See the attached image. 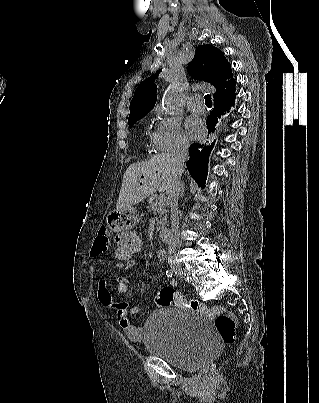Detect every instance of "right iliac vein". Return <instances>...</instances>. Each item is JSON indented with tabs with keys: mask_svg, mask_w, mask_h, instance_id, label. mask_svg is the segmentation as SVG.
<instances>
[{
	"mask_svg": "<svg viewBox=\"0 0 319 403\" xmlns=\"http://www.w3.org/2000/svg\"><path fill=\"white\" fill-rule=\"evenodd\" d=\"M171 268L177 276L181 277L183 275V270L181 266L172 264Z\"/></svg>",
	"mask_w": 319,
	"mask_h": 403,
	"instance_id": "1",
	"label": "right iliac vein"
}]
</instances>
